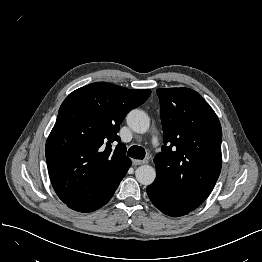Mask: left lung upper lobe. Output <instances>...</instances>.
<instances>
[{
	"label": "left lung upper lobe",
	"instance_id": "1",
	"mask_svg": "<svg viewBox=\"0 0 262 262\" xmlns=\"http://www.w3.org/2000/svg\"><path fill=\"white\" fill-rule=\"evenodd\" d=\"M157 94L164 146L154 158V186L180 208L193 211L210 195L221 171V125L192 89L162 88Z\"/></svg>",
	"mask_w": 262,
	"mask_h": 262
}]
</instances>
